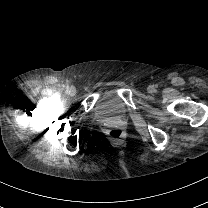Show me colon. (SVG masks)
<instances>
[{
	"label": "colon",
	"instance_id": "obj_1",
	"mask_svg": "<svg viewBox=\"0 0 208 208\" xmlns=\"http://www.w3.org/2000/svg\"><path fill=\"white\" fill-rule=\"evenodd\" d=\"M121 135V131L120 130H113L110 132V136L114 137V138H118Z\"/></svg>",
	"mask_w": 208,
	"mask_h": 208
}]
</instances>
